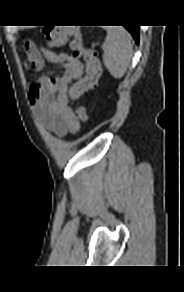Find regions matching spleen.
<instances>
[{
  "label": "spleen",
  "instance_id": "spleen-1",
  "mask_svg": "<svg viewBox=\"0 0 184 292\" xmlns=\"http://www.w3.org/2000/svg\"><path fill=\"white\" fill-rule=\"evenodd\" d=\"M106 30L107 36L102 44L103 62L109 73L120 79L132 58L131 36L122 27H109Z\"/></svg>",
  "mask_w": 184,
  "mask_h": 292
}]
</instances>
